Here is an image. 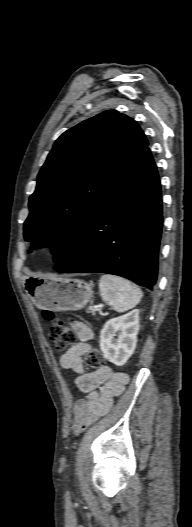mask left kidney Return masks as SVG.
I'll use <instances>...</instances> for the list:
<instances>
[{
    "mask_svg": "<svg viewBox=\"0 0 192 527\" xmlns=\"http://www.w3.org/2000/svg\"><path fill=\"white\" fill-rule=\"evenodd\" d=\"M138 331V310L107 321L100 333V349L104 357L117 366L124 365L134 353Z\"/></svg>",
    "mask_w": 192,
    "mask_h": 527,
    "instance_id": "left-kidney-1",
    "label": "left kidney"
}]
</instances>
